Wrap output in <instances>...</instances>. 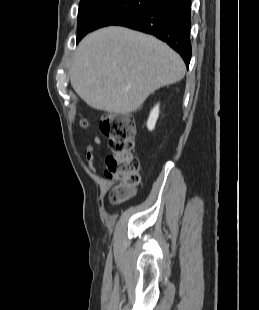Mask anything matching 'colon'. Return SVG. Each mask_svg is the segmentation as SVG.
<instances>
[{
	"label": "colon",
	"instance_id": "colon-1",
	"mask_svg": "<svg viewBox=\"0 0 259 310\" xmlns=\"http://www.w3.org/2000/svg\"><path fill=\"white\" fill-rule=\"evenodd\" d=\"M86 126V123H83ZM100 130L107 139L110 154L106 157V176L119 181L110 195L114 203L129 199L132 189L139 183V160L135 156V121L132 116L106 115L100 120Z\"/></svg>",
	"mask_w": 259,
	"mask_h": 310
}]
</instances>
